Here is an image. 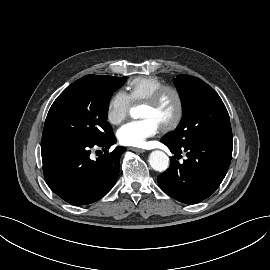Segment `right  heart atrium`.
I'll return each mask as SVG.
<instances>
[{
	"instance_id": "obj_1",
	"label": "right heart atrium",
	"mask_w": 270,
	"mask_h": 270,
	"mask_svg": "<svg viewBox=\"0 0 270 270\" xmlns=\"http://www.w3.org/2000/svg\"><path fill=\"white\" fill-rule=\"evenodd\" d=\"M131 105L132 100L126 92L116 91L107 104V120L113 125L120 124L127 118Z\"/></svg>"
}]
</instances>
